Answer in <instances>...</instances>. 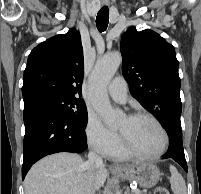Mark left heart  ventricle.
<instances>
[{
	"instance_id": "1",
	"label": "left heart ventricle",
	"mask_w": 201,
	"mask_h": 194,
	"mask_svg": "<svg viewBox=\"0 0 201 194\" xmlns=\"http://www.w3.org/2000/svg\"><path fill=\"white\" fill-rule=\"evenodd\" d=\"M118 130L137 152L153 154L162 147L163 137L160 130L147 118L124 117Z\"/></svg>"
}]
</instances>
